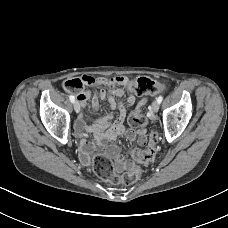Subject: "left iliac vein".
Returning a JSON list of instances; mask_svg holds the SVG:
<instances>
[{"label": "left iliac vein", "mask_w": 228, "mask_h": 228, "mask_svg": "<svg viewBox=\"0 0 228 228\" xmlns=\"http://www.w3.org/2000/svg\"><path fill=\"white\" fill-rule=\"evenodd\" d=\"M158 110H159V103H158L157 101H154V102L152 103V111H153L154 113H157Z\"/></svg>", "instance_id": "4c4485c4"}]
</instances>
